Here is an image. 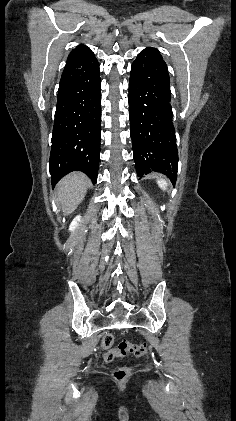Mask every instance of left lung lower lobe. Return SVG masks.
<instances>
[{
  "instance_id": "obj_1",
  "label": "left lung lower lobe",
  "mask_w": 236,
  "mask_h": 421,
  "mask_svg": "<svg viewBox=\"0 0 236 421\" xmlns=\"http://www.w3.org/2000/svg\"><path fill=\"white\" fill-rule=\"evenodd\" d=\"M165 61L154 48L141 51L132 64L129 117L138 177L152 170L177 179L178 150Z\"/></svg>"
}]
</instances>
